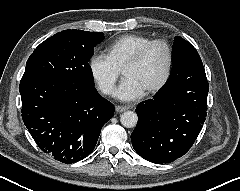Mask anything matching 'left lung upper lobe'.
Segmentation results:
<instances>
[{
	"instance_id": "left-lung-upper-lobe-1",
	"label": "left lung upper lobe",
	"mask_w": 240,
	"mask_h": 191,
	"mask_svg": "<svg viewBox=\"0 0 240 191\" xmlns=\"http://www.w3.org/2000/svg\"><path fill=\"white\" fill-rule=\"evenodd\" d=\"M172 51H173V68H172L171 74L175 72L177 67L183 64L196 65L198 67H203L202 60L197 50L193 47L192 44H190L188 41L181 38L180 36L175 37L174 43L172 46Z\"/></svg>"
}]
</instances>
